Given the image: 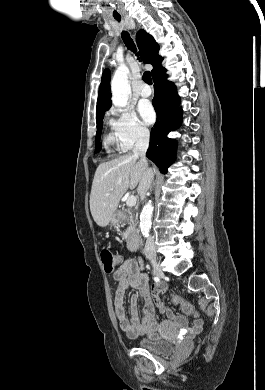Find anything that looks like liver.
<instances>
[{"label":"liver","mask_w":265,"mask_h":390,"mask_svg":"<svg viewBox=\"0 0 265 390\" xmlns=\"http://www.w3.org/2000/svg\"><path fill=\"white\" fill-rule=\"evenodd\" d=\"M145 169V164L132 153L97 167L90 194V211L98 226L109 224L120 199L128 188L133 190L140 183Z\"/></svg>","instance_id":"obj_1"}]
</instances>
